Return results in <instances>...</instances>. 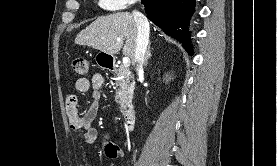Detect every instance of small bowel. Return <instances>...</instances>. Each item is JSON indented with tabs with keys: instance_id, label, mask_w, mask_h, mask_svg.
<instances>
[{
	"instance_id": "small-bowel-1",
	"label": "small bowel",
	"mask_w": 277,
	"mask_h": 166,
	"mask_svg": "<svg viewBox=\"0 0 277 166\" xmlns=\"http://www.w3.org/2000/svg\"><path fill=\"white\" fill-rule=\"evenodd\" d=\"M103 83V76L99 73L93 74L90 79L80 78L76 81V91L80 94H87L91 91L93 98L91 105L84 114L78 113L77 98L74 95L69 96L66 101V112L70 127L75 131H82L78 134V137L88 145H94L98 141V131L92 127L91 123L98 112ZM102 151L109 158H120L123 156L122 149L108 141L103 143Z\"/></svg>"
}]
</instances>
